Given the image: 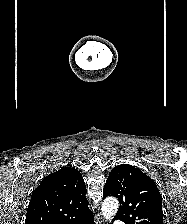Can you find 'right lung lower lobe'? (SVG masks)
I'll list each match as a JSON object with an SVG mask.
<instances>
[{
	"label": "right lung lower lobe",
	"mask_w": 187,
	"mask_h": 224,
	"mask_svg": "<svg viewBox=\"0 0 187 224\" xmlns=\"http://www.w3.org/2000/svg\"><path fill=\"white\" fill-rule=\"evenodd\" d=\"M84 224H95V223H94L93 218H92V219L86 221Z\"/></svg>",
	"instance_id": "right-lung-lower-lobe-1"
}]
</instances>
